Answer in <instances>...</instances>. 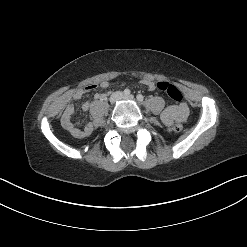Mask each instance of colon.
Instances as JSON below:
<instances>
[{"instance_id":"5ec220e1","label":"colon","mask_w":247,"mask_h":247,"mask_svg":"<svg viewBox=\"0 0 247 247\" xmlns=\"http://www.w3.org/2000/svg\"><path fill=\"white\" fill-rule=\"evenodd\" d=\"M157 88L160 91L166 93L167 96L170 99H172L173 101H175V102H181L182 101V98H183L182 93L180 92V90L176 86H174L168 82L161 81V82L157 83ZM172 128L175 132L179 133L182 131L183 126L181 123H175Z\"/></svg>"}]
</instances>
